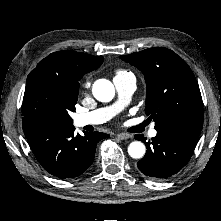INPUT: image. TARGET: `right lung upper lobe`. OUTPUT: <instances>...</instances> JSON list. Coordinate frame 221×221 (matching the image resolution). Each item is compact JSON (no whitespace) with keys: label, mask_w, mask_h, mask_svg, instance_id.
<instances>
[{"label":"right lung upper lobe","mask_w":221,"mask_h":221,"mask_svg":"<svg viewBox=\"0 0 221 221\" xmlns=\"http://www.w3.org/2000/svg\"><path fill=\"white\" fill-rule=\"evenodd\" d=\"M102 56H93L75 51L51 53L40 61L28 75L27 83L34 78H45L56 81L69 98H77L79 80L84 74L93 71L103 63Z\"/></svg>","instance_id":"right-lung-upper-lobe-1"}]
</instances>
